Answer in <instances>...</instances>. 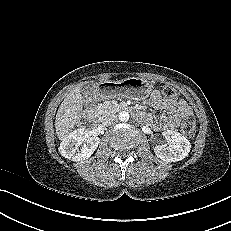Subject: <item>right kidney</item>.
I'll list each match as a JSON object with an SVG mask.
<instances>
[{
	"instance_id": "1",
	"label": "right kidney",
	"mask_w": 231,
	"mask_h": 231,
	"mask_svg": "<svg viewBox=\"0 0 231 231\" xmlns=\"http://www.w3.org/2000/svg\"><path fill=\"white\" fill-rule=\"evenodd\" d=\"M99 143V137L90 132H85L84 128L80 127L62 140L59 152L63 157L78 162L88 159Z\"/></svg>"
}]
</instances>
